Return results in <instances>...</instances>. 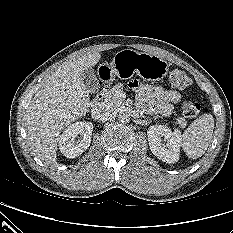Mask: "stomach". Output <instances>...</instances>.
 Listing matches in <instances>:
<instances>
[{
    "mask_svg": "<svg viewBox=\"0 0 233 233\" xmlns=\"http://www.w3.org/2000/svg\"><path fill=\"white\" fill-rule=\"evenodd\" d=\"M112 74L131 76L136 73L145 81H159L169 70V64L157 55L124 49L117 52L110 64L105 65Z\"/></svg>",
    "mask_w": 233,
    "mask_h": 233,
    "instance_id": "stomach-1",
    "label": "stomach"
}]
</instances>
